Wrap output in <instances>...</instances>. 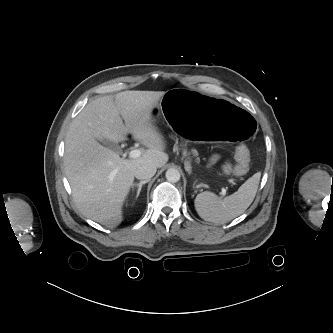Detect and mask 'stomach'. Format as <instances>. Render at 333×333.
<instances>
[{
    "instance_id": "1",
    "label": "stomach",
    "mask_w": 333,
    "mask_h": 333,
    "mask_svg": "<svg viewBox=\"0 0 333 333\" xmlns=\"http://www.w3.org/2000/svg\"><path fill=\"white\" fill-rule=\"evenodd\" d=\"M144 110L150 122H168L175 132L194 142L242 144L256 129L255 117L247 108L189 87L168 90L159 104L147 102Z\"/></svg>"
}]
</instances>
